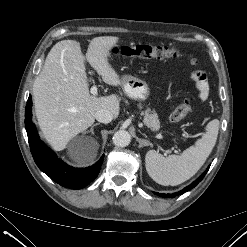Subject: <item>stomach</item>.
Returning <instances> with one entry per match:
<instances>
[{
    "label": "stomach",
    "instance_id": "stomach-1",
    "mask_svg": "<svg viewBox=\"0 0 247 247\" xmlns=\"http://www.w3.org/2000/svg\"><path fill=\"white\" fill-rule=\"evenodd\" d=\"M121 85L124 93L133 100L144 101L150 95L149 85L145 81L131 75L122 76Z\"/></svg>",
    "mask_w": 247,
    "mask_h": 247
}]
</instances>
